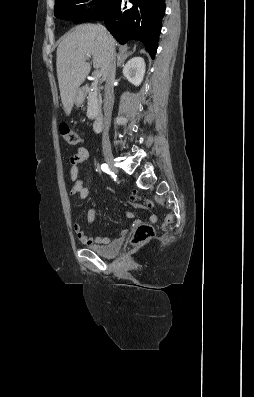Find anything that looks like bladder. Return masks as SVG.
I'll list each match as a JSON object with an SVG mask.
<instances>
[{
    "label": "bladder",
    "mask_w": 254,
    "mask_h": 397,
    "mask_svg": "<svg viewBox=\"0 0 254 397\" xmlns=\"http://www.w3.org/2000/svg\"><path fill=\"white\" fill-rule=\"evenodd\" d=\"M122 242L116 240L105 246H92L90 249L102 257H115L121 250Z\"/></svg>",
    "instance_id": "31cf9c89"
}]
</instances>
